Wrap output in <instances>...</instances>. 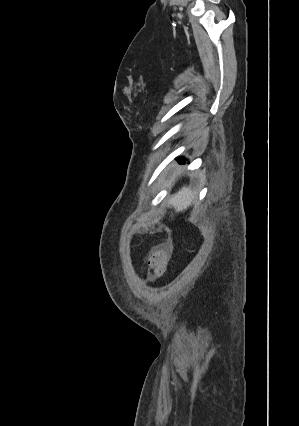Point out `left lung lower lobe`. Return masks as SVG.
<instances>
[{"label": "left lung lower lobe", "mask_w": 299, "mask_h": 426, "mask_svg": "<svg viewBox=\"0 0 299 426\" xmlns=\"http://www.w3.org/2000/svg\"><path fill=\"white\" fill-rule=\"evenodd\" d=\"M177 161H179L180 163H185V159L184 158H178Z\"/></svg>", "instance_id": "obj_1"}]
</instances>
